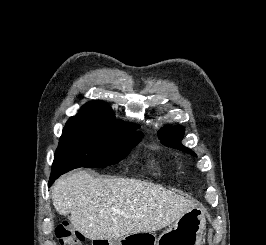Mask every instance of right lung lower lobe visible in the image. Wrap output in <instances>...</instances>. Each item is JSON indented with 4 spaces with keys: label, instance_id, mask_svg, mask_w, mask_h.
Instances as JSON below:
<instances>
[{
    "label": "right lung lower lobe",
    "instance_id": "right-lung-lower-lobe-1",
    "mask_svg": "<svg viewBox=\"0 0 266 245\" xmlns=\"http://www.w3.org/2000/svg\"><path fill=\"white\" fill-rule=\"evenodd\" d=\"M59 176L60 175H58V174H51L49 184L51 185L55 181V179L58 178Z\"/></svg>",
    "mask_w": 266,
    "mask_h": 245
}]
</instances>
